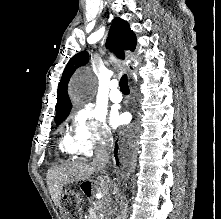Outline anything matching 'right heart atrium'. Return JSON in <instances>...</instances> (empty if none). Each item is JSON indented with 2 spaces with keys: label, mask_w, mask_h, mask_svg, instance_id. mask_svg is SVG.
I'll return each mask as SVG.
<instances>
[{
  "label": "right heart atrium",
  "mask_w": 221,
  "mask_h": 219,
  "mask_svg": "<svg viewBox=\"0 0 221 219\" xmlns=\"http://www.w3.org/2000/svg\"><path fill=\"white\" fill-rule=\"evenodd\" d=\"M72 132L79 154L86 156L104 148L110 137L103 114L87 107L74 111Z\"/></svg>",
  "instance_id": "obj_1"
}]
</instances>
